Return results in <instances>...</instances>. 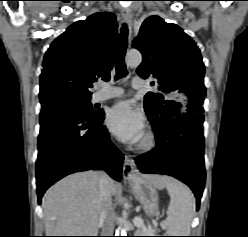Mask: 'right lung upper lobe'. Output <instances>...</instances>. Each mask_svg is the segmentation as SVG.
I'll list each match as a JSON object with an SVG mask.
<instances>
[{
	"label": "right lung upper lobe",
	"instance_id": "cb5924a9",
	"mask_svg": "<svg viewBox=\"0 0 248 237\" xmlns=\"http://www.w3.org/2000/svg\"><path fill=\"white\" fill-rule=\"evenodd\" d=\"M117 38L116 18L111 13H95L70 25L44 56L41 104L59 98L90 99L92 83L110 78Z\"/></svg>",
	"mask_w": 248,
	"mask_h": 237
}]
</instances>
